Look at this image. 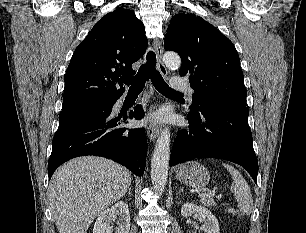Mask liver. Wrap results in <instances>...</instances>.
Masks as SVG:
<instances>
[{"instance_id":"1","label":"liver","mask_w":306,"mask_h":233,"mask_svg":"<svg viewBox=\"0 0 306 233\" xmlns=\"http://www.w3.org/2000/svg\"><path fill=\"white\" fill-rule=\"evenodd\" d=\"M130 184L131 172L106 158L84 156L62 165L48 190L59 233H86L96 216L121 199Z\"/></svg>"}]
</instances>
